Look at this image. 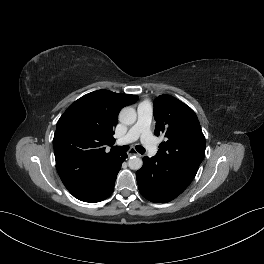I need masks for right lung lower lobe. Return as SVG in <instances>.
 Instances as JSON below:
<instances>
[{
  "instance_id": "1",
  "label": "right lung lower lobe",
  "mask_w": 264,
  "mask_h": 264,
  "mask_svg": "<svg viewBox=\"0 0 264 264\" xmlns=\"http://www.w3.org/2000/svg\"><path fill=\"white\" fill-rule=\"evenodd\" d=\"M127 158V154L125 153H121V155L115 160L110 172H109V178H108V185L106 187V189L104 190V192L97 197L96 199H94L93 201L90 202H100L104 199H106L107 197H109L111 195V193L114 190V185H115V180H116V175L118 174L120 168H121V164L123 163V161Z\"/></svg>"
}]
</instances>
